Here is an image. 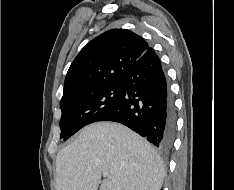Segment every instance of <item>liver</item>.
<instances>
[{
	"label": "liver",
	"instance_id": "1",
	"mask_svg": "<svg viewBox=\"0 0 234 190\" xmlns=\"http://www.w3.org/2000/svg\"><path fill=\"white\" fill-rule=\"evenodd\" d=\"M164 176L152 145L118 123L86 126L56 158V190H160Z\"/></svg>",
	"mask_w": 234,
	"mask_h": 190
}]
</instances>
